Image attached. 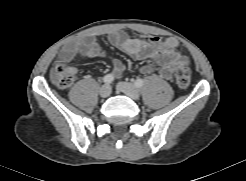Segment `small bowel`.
I'll return each instance as SVG.
<instances>
[{"mask_svg":"<svg viewBox=\"0 0 246 181\" xmlns=\"http://www.w3.org/2000/svg\"><path fill=\"white\" fill-rule=\"evenodd\" d=\"M108 42L136 59H147L157 64L159 66L158 73L165 80L172 79L177 67L188 64L187 58L179 51V42L175 38H130L122 33H112L108 37ZM107 56L96 38L84 36L74 39L64 47L55 64L57 62L65 64L79 57L97 58ZM110 59L113 65V73L115 75L124 73L125 65L123 62L115 57ZM140 71L143 74H152L154 67L150 64L144 65Z\"/></svg>","mask_w":246,"mask_h":181,"instance_id":"1","label":"small bowel"}]
</instances>
